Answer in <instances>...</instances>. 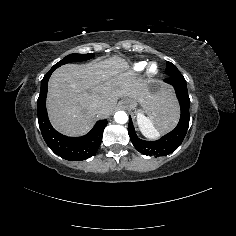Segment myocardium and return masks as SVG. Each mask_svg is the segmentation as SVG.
I'll return each instance as SVG.
<instances>
[{
    "label": "myocardium",
    "instance_id": "obj_1",
    "mask_svg": "<svg viewBox=\"0 0 236 236\" xmlns=\"http://www.w3.org/2000/svg\"><path fill=\"white\" fill-rule=\"evenodd\" d=\"M153 65H156V66L158 67L157 62L152 61V62H150V63L147 64L146 69H145V72H146L147 76H148V77H151V78L158 76L159 73H160V69H159V68H158V70H157L155 73H152V72L150 71V68H151V66H153Z\"/></svg>",
    "mask_w": 236,
    "mask_h": 236
}]
</instances>
